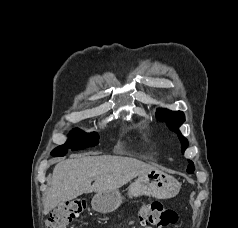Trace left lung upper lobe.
<instances>
[{"label":"left lung upper lobe","instance_id":"5c2ea615","mask_svg":"<svg viewBox=\"0 0 238 228\" xmlns=\"http://www.w3.org/2000/svg\"><path fill=\"white\" fill-rule=\"evenodd\" d=\"M156 114H157V117L161 121L167 122L169 128L172 131H175L178 134V137H179V139L181 141V145H182V152H184L188 146V141L180 133V131L178 129L181 126V124L185 121V116H184L183 112L171 111V110H167V109H159V110H157ZM189 163H190V165H188V167H187V172L193 173V171L195 170L194 164L190 160H189Z\"/></svg>","mask_w":238,"mask_h":228}]
</instances>
